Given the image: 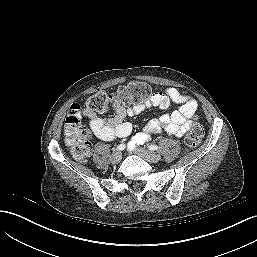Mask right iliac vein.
<instances>
[{"mask_svg": "<svg viewBox=\"0 0 257 257\" xmlns=\"http://www.w3.org/2000/svg\"><path fill=\"white\" fill-rule=\"evenodd\" d=\"M122 154L119 150H114L111 155V161L114 163H118L121 160Z\"/></svg>", "mask_w": 257, "mask_h": 257, "instance_id": "right-iliac-vein-1", "label": "right iliac vein"}]
</instances>
